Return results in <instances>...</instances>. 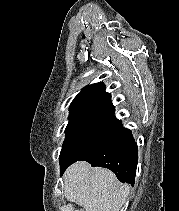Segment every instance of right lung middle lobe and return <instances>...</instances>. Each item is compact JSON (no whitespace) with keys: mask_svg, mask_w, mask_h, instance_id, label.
<instances>
[{"mask_svg":"<svg viewBox=\"0 0 179 211\" xmlns=\"http://www.w3.org/2000/svg\"><path fill=\"white\" fill-rule=\"evenodd\" d=\"M120 120L114 112H85L69 116L66 138L60 153V167L76 162L101 145L115 131Z\"/></svg>","mask_w":179,"mask_h":211,"instance_id":"1","label":"right lung middle lobe"}]
</instances>
